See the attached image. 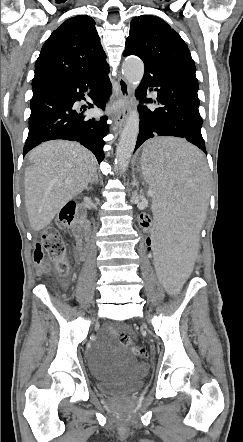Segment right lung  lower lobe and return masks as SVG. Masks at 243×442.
<instances>
[{"label":"right lung lower lobe","mask_w":243,"mask_h":442,"mask_svg":"<svg viewBox=\"0 0 243 442\" xmlns=\"http://www.w3.org/2000/svg\"><path fill=\"white\" fill-rule=\"evenodd\" d=\"M109 67L82 75H67L44 79L33 86L29 134L24 146L23 156L43 141L65 139L78 141L91 150L98 162L104 159L103 138L108 134L106 117L100 121L90 119L76 112V102L89 92L93 103L101 108L110 95L111 82ZM89 108L93 105L88 103ZM86 105L80 110H86Z\"/></svg>","instance_id":"obj_1"}]
</instances>
